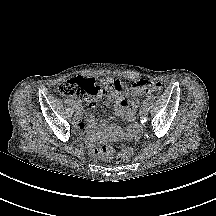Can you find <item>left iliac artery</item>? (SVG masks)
Here are the masks:
<instances>
[{
	"label": "left iliac artery",
	"mask_w": 216,
	"mask_h": 216,
	"mask_svg": "<svg viewBox=\"0 0 216 216\" xmlns=\"http://www.w3.org/2000/svg\"><path fill=\"white\" fill-rule=\"evenodd\" d=\"M146 103H147V100H146V99H143L141 105L144 107V106L146 105Z\"/></svg>",
	"instance_id": "44dca946"
}]
</instances>
